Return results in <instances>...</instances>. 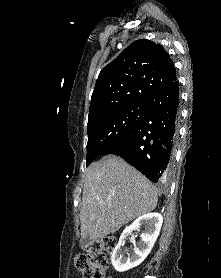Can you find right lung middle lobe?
Instances as JSON below:
<instances>
[{
  "label": "right lung middle lobe",
  "instance_id": "dd1d6c3e",
  "mask_svg": "<svg viewBox=\"0 0 221 278\" xmlns=\"http://www.w3.org/2000/svg\"><path fill=\"white\" fill-rule=\"evenodd\" d=\"M146 111L145 101H138L88 120L87 166L107 146L128 134Z\"/></svg>",
  "mask_w": 221,
  "mask_h": 278
}]
</instances>
